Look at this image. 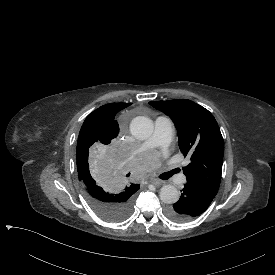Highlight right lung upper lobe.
<instances>
[{"label": "right lung upper lobe", "instance_id": "obj_1", "mask_svg": "<svg viewBox=\"0 0 275 275\" xmlns=\"http://www.w3.org/2000/svg\"><path fill=\"white\" fill-rule=\"evenodd\" d=\"M131 103H110L93 111L84 121L77 142V150L83 152L86 146L97 144L107 145L119 133V126L115 115ZM140 188L137 184H131L120 194H134Z\"/></svg>", "mask_w": 275, "mask_h": 275}]
</instances>
